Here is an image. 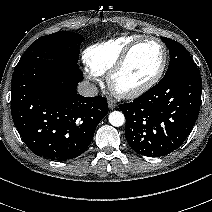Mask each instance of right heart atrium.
Here are the masks:
<instances>
[{
    "mask_svg": "<svg viewBox=\"0 0 212 212\" xmlns=\"http://www.w3.org/2000/svg\"><path fill=\"white\" fill-rule=\"evenodd\" d=\"M85 73H86V76L93 81H98L100 78V75L96 73L95 71L91 70L90 68H86Z\"/></svg>",
    "mask_w": 212,
    "mask_h": 212,
    "instance_id": "d8ad5b80",
    "label": "right heart atrium"
}]
</instances>
